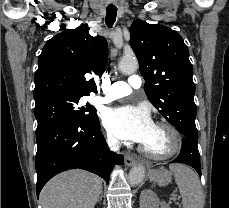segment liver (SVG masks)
Instances as JSON below:
<instances>
[{"label":"liver","mask_w":229,"mask_h":208,"mask_svg":"<svg viewBox=\"0 0 229 208\" xmlns=\"http://www.w3.org/2000/svg\"><path fill=\"white\" fill-rule=\"evenodd\" d=\"M102 192V180L83 170H70L52 178L42 192V208H94Z\"/></svg>","instance_id":"obj_1"}]
</instances>
